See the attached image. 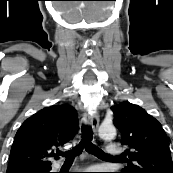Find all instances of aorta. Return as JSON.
Here are the masks:
<instances>
[{"label":"aorta","instance_id":"762f6f07","mask_svg":"<svg viewBox=\"0 0 173 173\" xmlns=\"http://www.w3.org/2000/svg\"><path fill=\"white\" fill-rule=\"evenodd\" d=\"M99 136L111 140L116 136V129L112 123H102L99 127Z\"/></svg>","mask_w":173,"mask_h":173}]
</instances>
